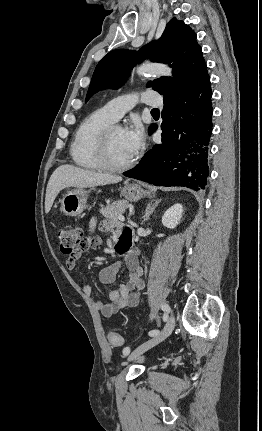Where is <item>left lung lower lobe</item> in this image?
<instances>
[{"mask_svg":"<svg viewBox=\"0 0 262 431\" xmlns=\"http://www.w3.org/2000/svg\"><path fill=\"white\" fill-rule=\"evenodd\" d=\"M211 97L209 77L189 91L164 97L162 142L123 175L156 186L203 189L212 132ZM156 129L153 125L150 134Z\"/></svg>","mask_w":262,"mask_h":431,"instance_id":"1","label":"left lung lower lobe"}]
</instances>
